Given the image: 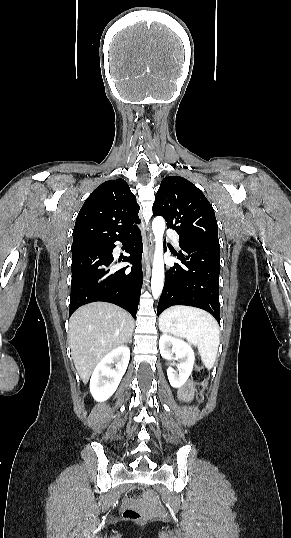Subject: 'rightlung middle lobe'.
<instances>
[{
	"label": "right lung middle lobe",
	"mask_w": 291,
	"mask_h": 538,
	"mask_svg": "<svg viewBox=\"0 0 291 538\" xmlns=\"http://www.w3.org/2000/svg\"><path fill=\"white\" fill-rule=\"evenodd\" d=\"M93 248H97V247H93ZM88 249H91V248L80 249V250H72V255H73V254H76V253H79V252H82V251H85V250H88Z\"/></svg>",
	"instance_id": "1"
}]
</instances>
